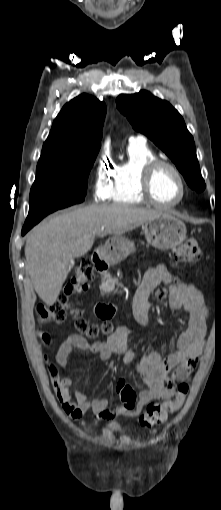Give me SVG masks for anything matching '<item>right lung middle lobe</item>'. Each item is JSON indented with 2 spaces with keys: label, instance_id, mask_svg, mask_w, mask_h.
<instances>
[{
  "label": "right lung middle lobe",
  "instance_id": "1",
  "mask_svg": "<svg viewBox=\"0 0 221 510\" xmlns=\"http://www.w3.org/2000/svg\"><path fill=\"white\" fill-rule=\"evenodd\" d=\"M99 149L39 159L30 191V207L58 210L84 201L89 172Z\"/></svg>",
  "mask_w": 221,
  "mask_h": 510
}]
</instances>
